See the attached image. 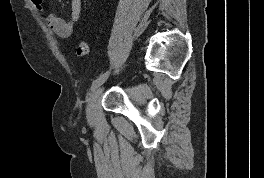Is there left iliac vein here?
<instances>
[{"label": "left iliac vein", "instance_id": "1", "mask_svg": "<svg viewBox=\"0 0 264 178\" xmlns=\"http://www.w3.org/2000/svg\"><path fill=\"white\" fill-rule=\"evenodd\" d=\"M103 83L104 82H102L97 87V89L91 94L90 98L88 99L87 108H86V115H87V119L89 121H92L94 119L96 103H97L99 96L101 95V93L103 91Z\"/></svg>", "mask_w": 264, "mask_h": 178}]
</instances>
